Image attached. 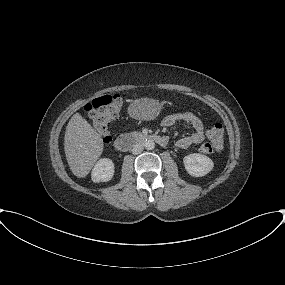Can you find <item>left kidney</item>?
<instances>
[{"instance_id": "1", "label": "left kidney", "mask_w": 285, "mask_h": 285, "mask_svg": "<svg viewBox=\"0 0 285 285\" xmlns=\"http://www.w3.org/2000/svg\"><path fill=\"white\" fill-rule=\"evenodd\" d=\"M183 162L186 171L193 177L205 176L214 167V163L209 157L199 153L185 156Z\"/></svg>"}]
</instances>
